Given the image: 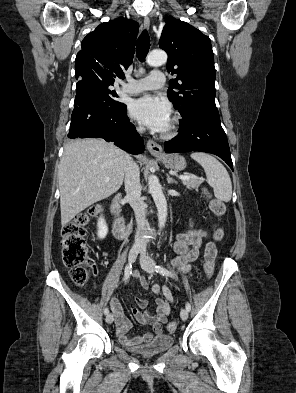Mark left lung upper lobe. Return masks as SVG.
<instances>
[{
    "label": "left lung upper lobe",
    "instance_id": "1",
    "mask_svg": "<svg viewBox=\"0 0 296 393\" xmlns=\"http://www.w3.org/2000/svg\"><path fill=\"white\" fill-rule=\"evenodd\" d=\"M160 47L168 54V72L177 75L170 80L167 95L182 116L180 124L201 110L217 111L214 56L209 37L169 16Z\"/></svg>",
    "mask_w": 296,
    "mask_h": 393
}]
</instances>
